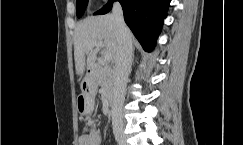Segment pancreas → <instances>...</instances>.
<instances>
[{"mask_svg":"<svg viewBox=\"0 0 243 145\" xmlns=\"http://www.w3.org/2000/svg\"><path fill=\"white\" fill-rule=\"evenodd\" d=\"M114 77L113 66L108 63H102L99 67L97 80L99 85L105 92H109L112 89Z\"/></svg>","mask_w":243,"mask_h":145,"instance_id":"obj_1","label":"pancreas"}]
</instances>
